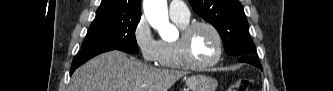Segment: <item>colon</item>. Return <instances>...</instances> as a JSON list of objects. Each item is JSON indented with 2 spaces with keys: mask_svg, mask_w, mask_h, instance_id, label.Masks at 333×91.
I'll list each match as a JSON object with an SVG mask.
<instances>
[{
  "mask_svg": "<svg viewBox=\"0 0 333 91\" xmlns=\"http://www.w3.org/2000/svg\"><path fill=\"white\" fill-rule=\"evenodd\" d=\"M253 82L250 79H240L236 81L230 88L231 91H249Z\"/></svg>",
  "mask_w": 333,
  "mask_h": 91,
  "instance_id": "5ec220e1",
  "label": "colon"
}]
</instances>
